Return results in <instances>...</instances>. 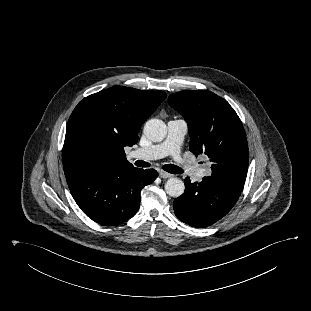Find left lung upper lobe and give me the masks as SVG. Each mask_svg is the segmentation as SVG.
I'll use <instances>...</instances> for the list:
<instances>
[{
	"label": "left lung upper lobe",
	"instance_id": "5c2ea615",
	"mask_svg": "<svg viewBox=\"0 0 311 311\" xmlns=\"http://www.w3.org/2000/svg\"><path fill=\"white\" fill-rule=\"evenodd\" d=\"M169 104L186 120L190 151L206 154L212 163L211 177L242 191L249 164V150L242 123L220 96L207 90L171 94Z\"/></svg>",
	"mask_w": 311,
	"mask_h": 311
}]
</instances>
